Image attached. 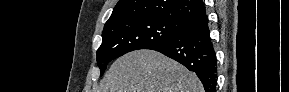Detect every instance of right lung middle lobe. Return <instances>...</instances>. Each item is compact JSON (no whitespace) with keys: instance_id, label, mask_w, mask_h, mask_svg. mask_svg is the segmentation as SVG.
<instances>
[{"instance_id":"right-lung-middle-lobe-1","label":"right lung middle lobe","mask_w":289,"mask_h":92,"mask_svg":"<svg viewBox=\"0 0 289 92\" xmlns=\"http://www.w3.org/2000/svg\"><path fill=\"white\" fill-rule=\"evenodd\" d=\"M185 24L160 18L139 17L121 20L104 27L97 50L101 75L113 59L137 49H148L179 34Z\"/></svg>"}]
</instances>
